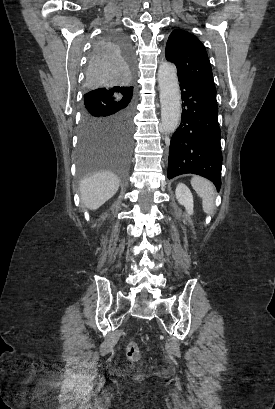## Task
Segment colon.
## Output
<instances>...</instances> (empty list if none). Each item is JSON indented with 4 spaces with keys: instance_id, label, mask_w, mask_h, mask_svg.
<instances>
[{
    "instance_id": "5ec220e1",
    "label": "colon",
    "mask_w": 275,
    "mask_h": 409,
    "mask_svg": "<svg viewBox=\"0 0 275 409\" xmlns=\"http://www.w3.org/2000/svg\"><path fill=\"white\" fill-rule=\"evenodd\" d=\"M126 356L129 360L136 362L140 359V350L138 345L133 342L130 341L126 347Z\"/></svg>"
}]
</instances>
